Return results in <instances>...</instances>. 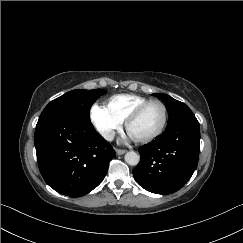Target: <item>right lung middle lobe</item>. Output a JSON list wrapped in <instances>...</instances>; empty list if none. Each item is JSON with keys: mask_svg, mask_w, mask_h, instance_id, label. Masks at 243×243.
<instances>
[{"mask_svg": "<svg viewBox=\"0 0 243 243\" xmlns=\"http://www.w3.org/2000/svg\"><path fill=\"white\" fill-rule=\"evenodd\" d=\"M105 90H72L51 101L41 113L38 122L51 117H68L90 122L89 112L92 104Z\"/></svg>", "mask_w": 243, "mask_h": 243, "instance_id": "1", "label": "right lung middle lobe"}]
</instances>
